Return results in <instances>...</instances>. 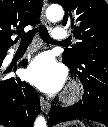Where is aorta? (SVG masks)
<instances>
[{"label":"aorta","mask_w":108,"mask_h":127,"mask_svg":"<svg viewBox=\"0 0 108 127\" xmlns=\"http://www.w3.org/2000/svg\"><path fill=\"white\" fill-rule=\"evenodd\" d=\"M64 10L58 4H52L46 10V17L49 21L56 22L63 18ZM34 127H46V120L43 116H38L34 122Z\"/></svg>","instance_id":"obj_1"}]
</instances>
